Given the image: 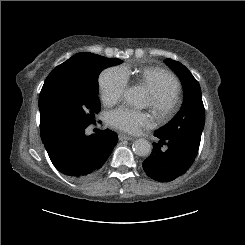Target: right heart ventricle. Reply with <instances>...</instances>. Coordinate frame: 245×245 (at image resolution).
<instances>
[{
    "mask_svg": "<svg viewBox=\"0 0 245 245\" xmlns=\"http://www.w3.org/2000/svg\"><path fill=\"white\" fill-rule=\"evenodd\" d=\"M127 78L130 77V70L124 68ZM137 79L140 83L146 86L150 91L156 90L162 86H170L178 95L180 85L174 75L159 67H145L138 71Z\"/></svg>",
    "mask_w": 245,
    "mask_h": 245,
    "instance_id": "right-heart-ventricle-1",
    "label": "right heart ventricle"
}]
</instances>
